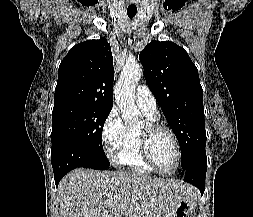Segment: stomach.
<instances>
[{
  "instance_id": "obj_1",
  "label": "stomach",
  "mask_w": 253,
  "mask_h": 217,
  "mask_svg": "<svg viewBox=\"0 0 253 217\" xmlns=\"http://www.w3.org/2000/svg\"><path fill=\"white\" fill-rule=\"evenodd\" d=\"M196 203L192 200H182L179 201L173 211L171 217H197L196 212Z\"/></svg>"
}]
</instances>
